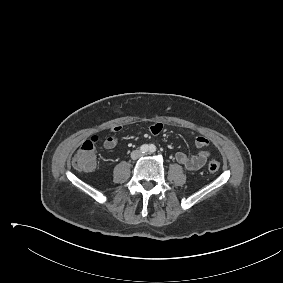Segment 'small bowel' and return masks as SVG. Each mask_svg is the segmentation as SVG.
I'll use <instances>...</instances> for the list:
<instances>
[{
    "instance_id": "small-bowel-1",
    "label": "small bowel",
    "mask_w": 283,
    "mask_h": 283,
    "mask_svg": "<svg viewBox=\"0 0 283 283\" xmlns=\"http://www.w3.org/2000/svg\"><path fill=\"white\" fill-rule=\"evenodd\" d=\"M162 130V125L159 123L153 124L149 127V131L152 134H158ZM112 132L118 133L121 131L120 126H115L111 129ZM118 143V138L116 136H109L103 141V147L105 149H113ZM209 142L204 137H198L195 140V146L197 151L193 155H189L185 152L179 151L175 154L176 161L183 165L186 169L190 171L200 169L207 161L209 157V152L206 150Z\"/></svg>"
}]
</instances>
